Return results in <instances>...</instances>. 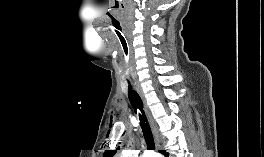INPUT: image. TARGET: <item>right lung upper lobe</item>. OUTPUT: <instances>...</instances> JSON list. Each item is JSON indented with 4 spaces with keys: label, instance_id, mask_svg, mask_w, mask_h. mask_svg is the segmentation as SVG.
<instances>
[{
    "label": "right lung upper lobe",
    "instance_id": "cb5924a9",
    "mask_svg": "<svg viewBox=\"0 0 264 157\" xmlns=\"http://www.w3.org/2000/svg\"><path fill=\"white\" fill-rule=\"evenodd\" d=\"M119 149V147L117 148ZM117 150H106L104 153V157H113Z\"/></svg>",
    "mask_w": 264,
    "mask_h": 157
}]
</instances>
